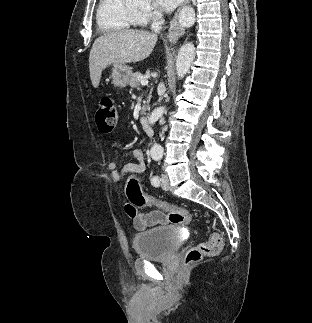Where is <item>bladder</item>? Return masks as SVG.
<instances>
[{
	"mask_svg": "<svg viewBox=\"0 0 312 323\" xmlns=\"http://www.w3.org/2000/svg\"><path fill=\"white\" fill-rule=\"evenodd\" d=\"M179 244L176 229L169 226H158L133 238L136 253L150 260L168 259L172 252H177Z\"/></svg>",
	"mask_w": 312,
	"mask_h": 323,
	"instance_id": "bladder-1",
	"label": "bladder"
}]
</instances>
